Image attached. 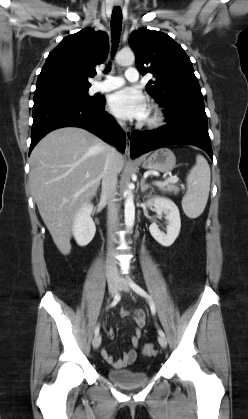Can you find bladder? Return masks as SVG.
<instances>
[{
  "label": "bladder",
  "instance_id": "obj_1",
  "mask_svg": "<svg viewBox=\"0 0 248 419\" xmlns=\"http://www.w3.org/2000/svg\"><path fill=\"white\" fill-rule=\"evenodd\" d=\"M107 378L122 388H137L145 385L149 381V374L135 371L133 369H109L106 372Z\"/></svg>",
  "mask_w": 248,
  "mask_h": 419
}]
</instances>
